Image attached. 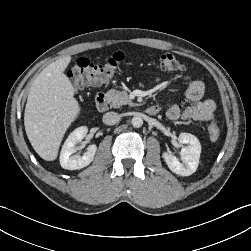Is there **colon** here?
Here are the masks:
<instances>
[{"label": "colon", "instance_id": "5ec220e1", "mask_svg": "<svg viewBox=\"0 0 251 251\" xmlns=\"http://www.w3.org/2000/svg\"><path fill=\"white\" fill-rule=\"evenodd\" d=\"M124 55L121 52L114 53L104 63H95L89 58L81 57L68 71L67 75L76 91H81L89 86L98 85L109 81L115 74ZM159 67L165 71H182L184 66L171 53L160 55ZM208 135L212 141L219 138L220 130L216 122L208 126Z\"/></svg>", "mask_w": 251, "mask_h": 251}]
</instances>
